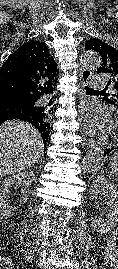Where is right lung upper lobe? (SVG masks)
Listing matches in <instances>:
<instances>
[{
    "mask_svg": "<svg viewBox=\"0 0 118 269\" xmlns=\"http://www.w3.org/2000/svg\"><path fill=\"white\" fill-rule=\"evenodd\" d=\"M57 75L56 62L48 48L38 41L20 46L0 69V99L16 97L37 104L30 123L41 132L44 141L50 133L52 108L41 106L39 100L53 92Z\"/></svg>",
    "mask_w": 118,
    "mask_h": 269,
    "instance_id": "cb5924a9",
    "label": "right lung upper lobe"
}]
</instances>
